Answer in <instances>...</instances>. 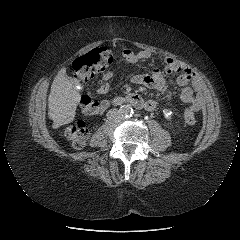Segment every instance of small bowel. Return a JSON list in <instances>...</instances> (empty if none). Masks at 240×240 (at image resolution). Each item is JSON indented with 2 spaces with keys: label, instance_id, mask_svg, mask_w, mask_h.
Masks as SVG:
<instances>
[{
  "label": "small bowel",
  "instance_id": "small-bowel-1",
  "mask_svg": "<svg viewBox=\"0 0 240 240\" xmlns=\"http://www.w3.org/2000/svg\"><path fill=\"white\" fill-rule=\"evenodd\" d=\"M124 65L129 67L136 65L139 61L147 59L151 56L149 50L131 51L126 49L122 52ZM164 71L167 74L179 73L177 84L182 87V91L178 96V100L187 104L186 108L193 112L199 111L202 107V98L199 91V85L194 72L184 63L172 58H165ZM113 77V72H106L98 81L96 92L100 95L108 93L110 89V80ZM131 81L136 84H143L154 87L158 91H165L166 85L163 73L160 70H154L151 73H142L132 76ZM147 110H154L156 108V101L151 99L145 102ZM110 105V100L104 99L100 103V110L104 111Z\"/></svg>",
  "mask_w": 240,
  "mask_h": 240
}]
</instances>
